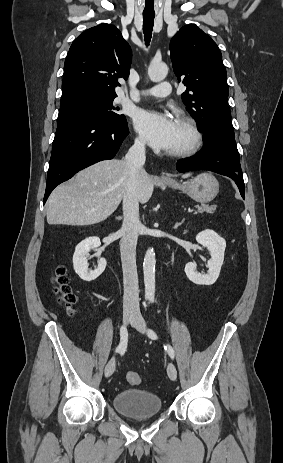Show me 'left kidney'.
<instances>
[{
  "instance_id": "left-kidney-1",
  "label": "left kidney",
  "mask_w": 283,
  "mask_h": 463,
  "mask_svg": "<svg viewBox=\"0 0 283 463\" xmlns=\"http://www.w3.org/2000/svg\"><path fill=\"white\" fill-rule=\"evenodd\" d=\"M196 241L206 247L210 252L211 259L208 261L207 274H201L196 271V264L188 262L185 265V273L190 281L199 285H212L219 277L220 270L224 260L226 241L216 232L206 229L196 236Z\"/></svg>"
}]
</instances>
